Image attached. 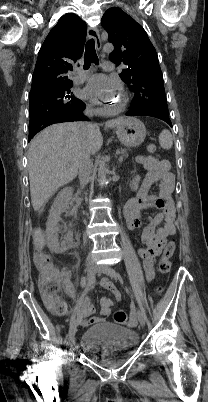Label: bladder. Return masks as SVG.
<instances>
[{
  "mask_svg": "<svg viewBox=\"0 0 208 402\" xmlns=\"http://www.w3.org/2000/svg\"><path fill=\"white\" fill-rule=\"evenodd\" d=\"M138 344L137 331L113 323L93 324L81 337V348L89 349L95 362L112 366L131 356Z\"/></svg>",
  "mask_w": 208,
  "mask_h": 402,
  "instance_id": "obj_1",
  "label": "bladder"
}]
</instances>
